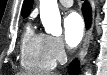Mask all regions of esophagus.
<instances>
[{"mask_svg": "<svg viewBox=\"0 0 107 75\" xmlns=\"http://www.w3.org/2000/svg\"><path fill=\"white\" fill-rule=\"evenodd\" d=\"M90 7H91V13H92V16L94 14V5L93 3L90 4ZM92 24L89 26L86 34H85V38H84V43H83V46L79 52V61H83V59L85 58L86 54H87V51H88V47H89V44L92 40Z\"/></svg>", "mask_w": 107, "mask_h": 75, "instance_id": "obj_1", "label": "esophagus"}]
</instances>
